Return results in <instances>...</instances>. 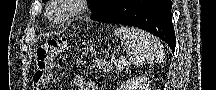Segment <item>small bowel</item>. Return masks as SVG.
<instances>
[{
	"label": "small bowel",
	"instance_id": "small-bowel-1",
	"mask_svg": "<svg viewBox=\"0 0 216 90\" xmlns=\"http://www.w3.org/2000/svg\"><path fill=\"white\" fill-rule=\"evenodd\" d=\"M76 90H96V86L93 82L87 81L81 76H77L74 80Z\"/></svg>",
	"mask_w": 216,
	"mask_h": 90
}]
</instances>
